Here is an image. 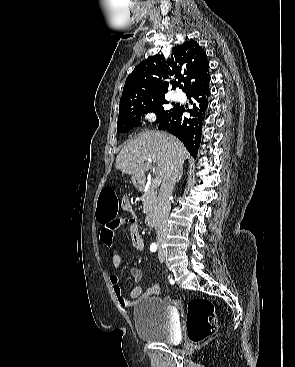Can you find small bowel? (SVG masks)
Masks as SVG:
<instances>
[{"label": "small bowel", "mask_w": 295, "mask_h": 367, "mask_svg": "<svg viewBox=\"0 0 295 367\" xmlns=\"http://www.w3.org/2000/svg\"><path fill=\"white\" fill-rule=\"evenodd\" d=\"M122 208L129 213L133 212L132 205L128 197L123 198ZM125 222L129 224V235L133 248L137 251H142L145 246L143 235L141 234L137 224V218L134 215L129 219L116 218L112 222L101 223L102 227L100 230V240L110 250L112 264L115 269H119L122 265V258L115 245V233L118 227ZM129 274L136 283V285L130 291L129 298H126L123 295L119 276L112 274L109 278L113 292L117 297L121 307L130 308L133 307L141 298L158 296L161 294V287L158 283L154 284L143 293V286L141 284L143 273L140 269L136 267H130Z\"/></svg>", "instance_id": "1"}]
</instances>
